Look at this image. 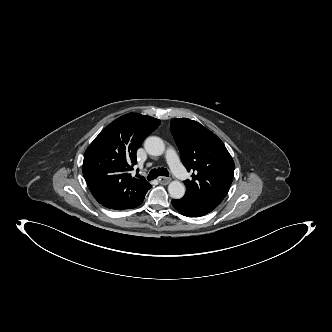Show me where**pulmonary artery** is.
Returning a JSON list of instances; mask_svg holds the SVG:
<instances>
[{
	"mask_svg": "<svg viewBox=\"0 0 332 332\" xmlns=\"http://www.w3.org/2000/svg\"><path fill=\"white\" fill-rule=\"evenodd\" d=\"M166 160L173 171V173L181 180H184L187 178V171L183 167V165L180 163L178 156L174 149L169 148L166 151Z\"/></svg>",
	"mask_w": 332,
	"mask_h": 332,
	"instance_id": "e3ab8cb5",
	"label": "pulmonary artery"
}]
</instances>
